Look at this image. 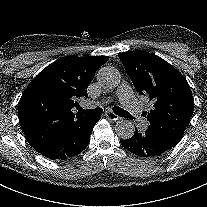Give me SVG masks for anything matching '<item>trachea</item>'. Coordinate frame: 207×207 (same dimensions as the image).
I'll use <instances>...</instances> for the list:
<instances>
[{
    "label": "trachea",
    "mask_w": 207,
    "mask_h": 207,
    "mask_svg": "<svg viewBox=\"0 0 207 207\" xmlns=\"http://www.w3.org/2000/svg\"><path fill=\"white\" fill-rule=\"evenodd\" d=\"M78 110H79L80 114H85V115H88V116H100L103 113V109L102 108H96L94 110H84L82 108H79ZM112 110L117 115H119L121 117L128 118V119H132V116L127 111H125L122 108H119L117 106H114L112 108Z\"/></svg>",
    "instance_id": "3493384b"
}]
</instances>
